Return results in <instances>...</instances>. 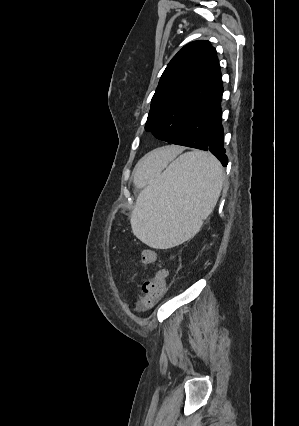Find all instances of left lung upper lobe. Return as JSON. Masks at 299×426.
<instances>
[{
  "label": "left lung upper lobe",
  "mask_w": 299,
  "mask_h": 426,
  "mask_svg": "<svg viewBox=\"0 0 299 426\" xmlns=\"http://www.w3.org/2000/svg\"><path fill=\"white\" fill-rule=\"evenodd\" d=\"M222 87L220 65L208 41L185 45L164 70L145 129L171 143L189 118Z\"/></svg>",
  "instance_id": "1"
}]
</instances>
